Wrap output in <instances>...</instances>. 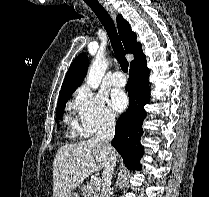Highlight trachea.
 <instances>
[{
  "mask_svg": "<svg viewBox=\"0 0 209 197\" xmlns=\"http://www.w3.org/2000/svg\"><path fill=\"white\" fill-rule=\"evenodd\" d=\"M84 1L96 14L97 18L100 20V22L104 26L108 34V37L110 39L115 56L121 66V69L127 73L129 63L125 58V51L121 43V40L118 36L117 30H116V27L112 18L97 0H84Z\"/></svg>",
  "mask_w": 209,
  "mask_h": 197,
  "instance_id": "trachea-1",
  "label": "trachea"
}]
</instances>
